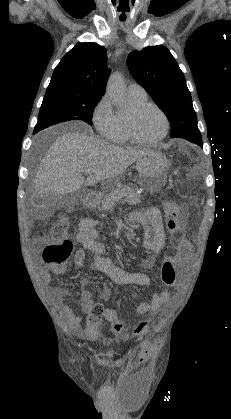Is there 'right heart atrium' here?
I'll list each match as a JSON object with an SVG mask.
<instances>
[{"label": "right heart atrium", "instance_id": "right-heart-atrium-1", "mask_svg": "<svg viewBox=\"0 0 231 419\" xmlns=\"http://www.w3.org/2000/svg\"><path fill=\"white\" fill-rule=\"evenodd\" d=\"M92 118L96 129L103 138L116 139L119 132L118 116L107 94H104L96 103Z\"/></svg>", "mask_w": 231, "mask_h": 419}]
</instances>
